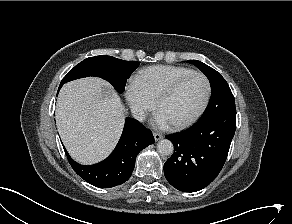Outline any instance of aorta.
Here are the masks:
<instances>
[{"label":"aorta","instance_id":"1","mask_svg":"<svg viewBox=\"0 0 292 224\" xmlns=\"http://www.w3.org/2000/svg\"><path fill=\"white\" fill-rule=\"evenodd\" d=\"M157 150L161 155L169 156L173 154L174 146L170 140L163 139L158 142Z\"/></svg>","mask_w":292,"mask_h":224}]
</instances>
